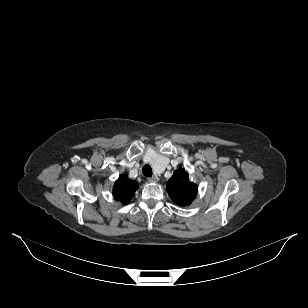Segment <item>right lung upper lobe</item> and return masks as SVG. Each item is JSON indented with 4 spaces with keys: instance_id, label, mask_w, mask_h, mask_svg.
<instances>
[{
    "instance_id": "obj_1",
    "label": "right lung upper lobe",
    "mask_w": 308,
    "mask_h": 308,
    "mask_svg": "<svg viewBox=\"0 0 308 308\" xmlns=\"http://www.w3.org/2000/svg\"><path fill=\"white\" fill-rule=\"evenodd\" d=\"M137 188V182L131 181L125 176H121L114 184L113 196L117 201L127 204L133 197Z\"/></svg>"
}]
</instances>
